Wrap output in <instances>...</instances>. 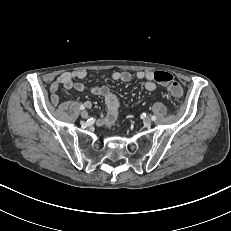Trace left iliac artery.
<instances>
[{"label":"left iliac artery","mask_w":231,"mask_h":231,"mask_svg":"<svg viewBox=\"0 0 231 231\" xmlns=\"http://www.w3.org/2000/svg\"><path fill=\"white\" fill-rule=\"evenodd\" d=\"M151 119H152V121H155V120H156V116L153 115V116L151 117Z\"/></svg>","instance_id":"1"}]
</instances>
